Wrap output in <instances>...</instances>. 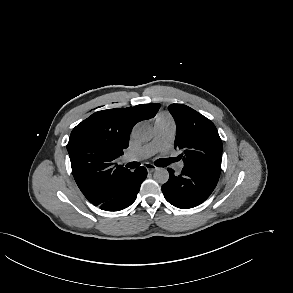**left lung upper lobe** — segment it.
Returning <instances> with one entry per match:
<instances>
[{"mask_svg": "<svg viewBox=\"0 0 293 293\" xmlns=\"http://www.w3.org/2000/svg\"><path fill=\"white\" fill-rule=\"evenodd\" d=\"M177 131L174 147L182 152L184 167L220 176L222 141L214 124L183 104H171Z\"/></svg>", "mask_w": 293, "mask_h": 293, "instance_id": "left-lung-upper-lobe-1", "label": "left lung upper lobe"}]
</instances>
